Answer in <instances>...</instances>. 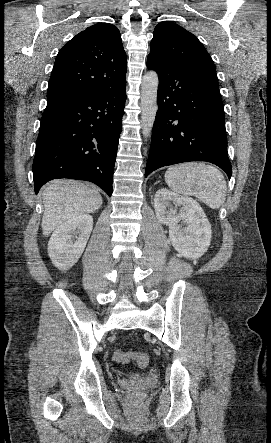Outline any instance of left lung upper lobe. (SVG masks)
<instances>
[{"label":"left lung upper lobe","mask_w":271,"mask_h":443,"mask_svg":"<svg viewBox=\"0 0 271 443\" xmlns=\"http://www.w3.org/2000/svg\"><path fill=\"white\" fill-rule=\"evenodd\" d=\"M150 54L216 71L209 53L196 36L173 22H161L155 27Z\"/></svg>","instance_id":"obj_1"}]
</instances>
